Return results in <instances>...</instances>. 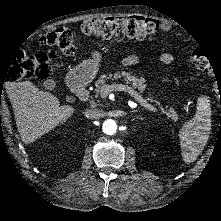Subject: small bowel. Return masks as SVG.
Instances as JSON below:
<instances>
[{
    "label": "small bowel",
    "instance_id": "1",
    "mask_svg": "<svg viewBox=\"0 0 221 221\" xmlns=\"http://www.w3.org/2000/svg\"><path fill=\"white\" fill-rule=\"evenodd\" d=\"M154 30L140 36L141 42L148 49L156 48L161 54L162 62L172 65L178 77H169L156 74L151 65L153 54L145 52L141 54L120 55L117 62L121 66H132V71L127 75L130 80L134 79L135 73H142L146 77L155 80L165 87H175L187 79V68L181 62L179 53L175 50V42L170 28L165 24L153 22Z\"/></svg>",
    "mask_w": 221,
    "mask_h": 221
}]
</instances>
